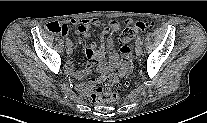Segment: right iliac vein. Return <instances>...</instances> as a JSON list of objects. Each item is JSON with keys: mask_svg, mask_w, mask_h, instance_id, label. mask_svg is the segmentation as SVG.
Segmentation results:
<instances>
[{"mask_svg": "<svg viewBox=\"0 0 207 123\" xmlns=\"http://www.w3.org/2000/svg\"><path fill=\"white\" fill-rule=\"evenodd\" d=\"M66 52H67V54H69V55H71V54H72L73 50H72L71 45H67Z\"/></svg>", "mask_w": 207, "mask_h": 123, "instance_id": "right-iliac-vein-1", "label": "right iliac vein"}]
</instances>
